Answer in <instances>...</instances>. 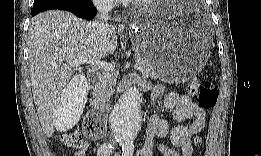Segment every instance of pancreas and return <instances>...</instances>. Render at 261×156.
Returning <instances> with one entry per match:
<instances>
[{
    "mask_svg": "<svg viewBox=\"0 0 261 156\" xmlns=\"http://www.w3.org/2000/svg\"><path fill=\"white\" fill-rule=\"evenodd\" d=\"M136 61L141 63V72L147 77H157L155 68L150 60L143 54H136ZM118 74L113 71H104L100 76L99 82L93 91V102L97 104H105L113 95L114 86L116 85Z\"/></svg>",
    "mask_w": 261,
    "mask_h": 156,
    "instance_id": "1",
    "label": "pancreas"
}]
</instances>
